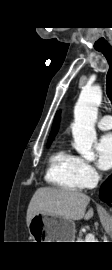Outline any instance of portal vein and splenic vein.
<instances>
[{
	"label": "portal vein and splenic vein",
	"instance_id": "portal-vein-and-splenic-vein-1",
	"mask_svg": "<svg viewBox=\"0 0 112 270\" xmlns=\"http://www.w3.org/2000/svg\"><path fill=\"white\" fill-rule=\"evenodd\" d=\"M85 242H95V237L93 234L88 233L85 237Z\"/></svg>",
	"mask_w": 112,
	"mask_h": 270
}]
</instances>
